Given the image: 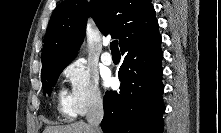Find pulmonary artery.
<instances>
[{"label":"pulmonary artery","instance_id":"pulmonary-artery-1","mask_svg":"<svg viewBox=\"0 0 221 133\" xmlns=\"http://www.w3.org/2000/svg\"><path fill=\"white\" fill-rule=\"evenodd\" d=\"M108 45H109V42L104 41V46L107 47ZM101 60L105 65H111L113 63V57H112L111 53L108 51H105L102 53Z\"/></svg>","mask_w":221,"mask_h":133}]
</instances>
